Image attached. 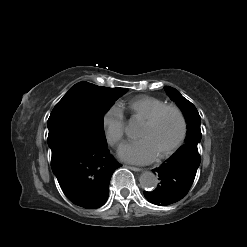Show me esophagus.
<instances>
[{
    "label": "esophagus",
    "mask_w": 247,
    "mask_h": 247,
    "mask_svg": "<svg viewBox=\"0 0 247 247\" xmlns=\"http://www.w3.org/2000/svg\"><path fill=\"white\" fill-rule=\"evenodd\" d=\"M127 168H129V169H130V170H132V171H136V172H138V171H142V169H141V168L134 167V166H127Z\"/></svg>",
    "instance_id": "1"
}]
</instances>
